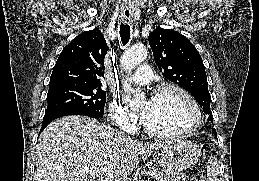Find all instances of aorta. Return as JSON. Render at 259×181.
Wrapping results in <instances>:
<instances>
[{"label": "aorta", "instance_id": "obj_1", "mask_svg": "<svg viewBox=\"0 0 259 181\" xmlns=\"http://www.w3.org/2000/svg\"><path fill=\"white\" fill-rule=\"evenodd\" d=\"M147 57V49L142 44H137L129 47L121 58L122 68L128 73L131 72L138 64H140ZM124 88L127 91H133L131 86L127 83L124 84ZM144 98L142 92H136L132 100L130 101L131 108H137Z\"/></svg>", "mask_w": 259, "mask_h": 181}]
</instances>
